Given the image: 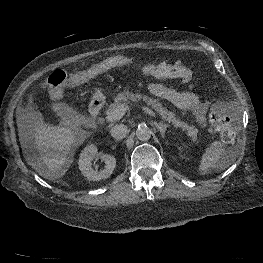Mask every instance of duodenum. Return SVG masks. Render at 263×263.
<instances>
[{"label":"duodenum","instance_id":"1","mask_svg":"<svg viewBox=\"0 0 263 263\" xmlns=\"http://www.w3.org/2000/svg\"><path fill=\"white\" fill-rule=\"evenodd\" d=\"M103 103L99 100H93L89 105V111L94 118H98L101 113Z\"/></svg>","mask_w":263,"mask_h":263}]
</instances>
